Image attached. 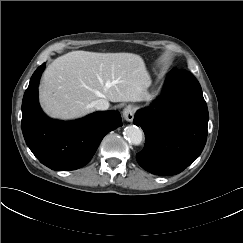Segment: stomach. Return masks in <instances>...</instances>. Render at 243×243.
I'll use <instances>...</instances> for the list:
<instances>
[{
	"instance_id": "0dacf381",
	"label": "stomach",
	"mask_w": 243,
	"mask_h": 243,
	"mask_svg": "<svg viewBox=\"0 0 243 243\" xmlns=\"http://www.w3.org/2000/svg\"><path fill=\"white\" fill-rule=\"evenodd\" d=\"M151 84H152L151 77L147 74L146 77L142 81L143 96L138 101H149V100H151V95L149 93V87L151 86Z\"/></svg>"
}]
</instances>
